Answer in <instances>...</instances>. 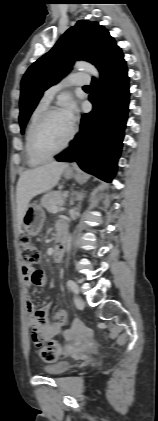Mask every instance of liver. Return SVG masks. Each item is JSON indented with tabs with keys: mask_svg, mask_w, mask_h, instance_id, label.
<instances>
[{
	"mask_svg": "<svg viewBox=\"0 0 158 421\" xmlns=\"http://www.w3.org/2000/svg\"><path fill=\"white\" fill-rule=\"evenodd\" d=\"M68 167L64 162H52L20 175L17 183V221L21 227L24 213L35 196L48 192L57 185L62 172Z\"/></svg>",
	"mask_w": 158,
	"mask_h": 421,
	"instance_id": "obj_1",
	"label": "liver"
}]
</instances>
